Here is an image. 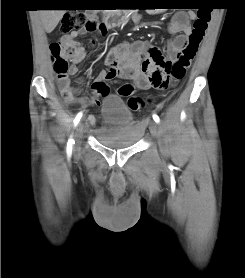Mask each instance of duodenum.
<instances>
[{
	"instance_id": "duodenum-1",
	"label": "duodenum",
	"mask_w": 245,
	"mask_h": 278,
	"mask_svg": "<svg viewBox=\"0 0 245 278\" xmlns=\"http://www.w3.org/2000/svg\"><path fill=\"white\" fill-rule=\"evenodd\" d=\"M134 16L132 15H121V14H112V15H107L103 18L102 23L105 27H112L115 25H120L124 22H126L127 20L133 18ZM76 93H74L73 95H75Z\"/></svg>"
}]
</instances>
